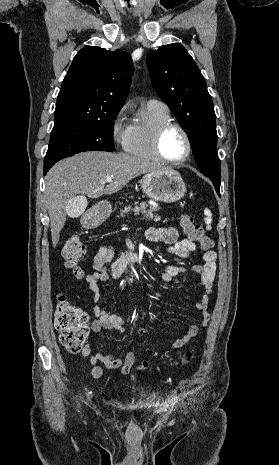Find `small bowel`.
<instances>
[{"label": "small bowel", "instance_id": "obj_1", "mask_svg": "<svg viewBox=\"0 0 279 465\" xmlns=\"http://www.w3.org/2000/svg\"><path fill=\"white\" fill-rule=\"evenodd\" d=\"M146 238L151 243L164 244L169 253L175 254L183 259L192 257L196 250L194 241L189 238H179L177 229L172 226L152 227L147 230ZM114 253L115 251L112 245L101 246L93 259L94 272L86 276V281L95 301V305L92 308L95 317L91 324L92 338H95L102 330L125 331L124 320L118 314L104 310L100 306L101 291L99 284L109 279L107 265L112 261ZM216 259V253L212 250H207L202 255L203 264L196 265L192 268V271L199 275L200 284L204 289L202 296L195 304L196 310L201 313V317L197 324H191L184 335L172 343L171 348L173 350H178L190 342V340L198 334L199 330L205 327L209 322L210 316L207 312V308L215 279ZM184 271L185 269L183 267L170 264L160 271V276L164 282H176L178 276L184 273ZM145 332V329L139 331L140 334ZM91 351L92 345L91 343H87L82 349V356L89 357V362L92 366L91 375L94 379H100L103 375V369L100 364H103L108 369H120L121 373L124 375L130 374L134 369H145L149 365L148 360H144L139 366H135L136 357L133 352H126L122 355L98 352L91 355ZM147 354L149 357H155L159 354V351L150 348L147 350Z\"/></svg>", "mask_w": 279, "mask_h": 465}]
</instances>
